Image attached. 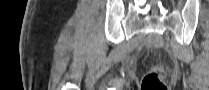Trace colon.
Instances as JSON below:
<instances>
[{"mask_svg": "<svg viewBox=\"0 0 209 90\" xmlns=\"http://www.w3.org/2000/svg\"><path fill=\"white\" fill-rule=\"evenodd\" d=\"M165 68L156 67L146 74L142 80L141 90H168L169 87L164 81Z\"/></svg>", "mask_w": 209, "mask_h": 90, "instance_id": "colon-1", "label": "colon"}]
</instances>
